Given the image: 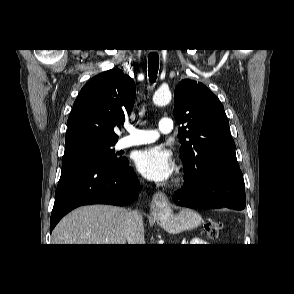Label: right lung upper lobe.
Here are the masks:
<instances>
[{"label":"right lung upper lobe","instance_id":"obj_1","mask_svg":"<svg viewBox=\"0 0 294 294\" xmlns=\"http://www.w3.org/2000/svg\"><path fill=\"white\" fill-rule=\"evenodd\" d=\"M135 96L133 79L120 69L92 78L74 102L65 144L82 139L116 142L114 127H119L131 113Z\"/></svg>","mask_w":294,"mask_h":294}]
</instances>
